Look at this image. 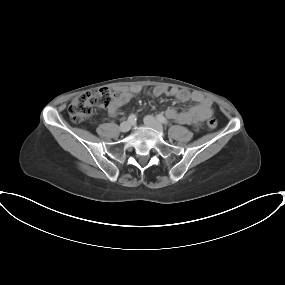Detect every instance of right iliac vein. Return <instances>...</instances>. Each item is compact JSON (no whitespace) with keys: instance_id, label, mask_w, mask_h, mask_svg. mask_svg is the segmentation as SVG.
<instances>
[{"instance_id":"63e3f726","label":"right iliac vein","mask_w":285,"mask_h":285,"mask_svg":"<svg viewBox=\"0 0 285 285\" xmlns=\"http://www.w3.org/2000/svg\"><path fill=\"white\" fill-rule=\"evenodd\" d=\"M130 128H131V123L128 121L122 122L119 126L120 131L123 133L128 132Z\"/></svg>"}]
</instances>
